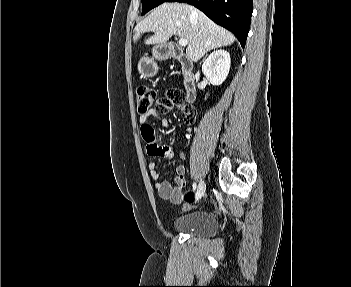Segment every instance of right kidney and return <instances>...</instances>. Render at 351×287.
Returning <instances> with one entry per match:
<instances>
[{
	"instance_id": "obj_1",
	"label": "right kidney",
	"mask_w": 351,
	"mask_h": 287,
	"mask_svg": "<svg viewBox=\"0 0 351 287\" xmlns=\"http://www.w3.org/2000/svg\"><path fill=\"white\" fill-rule=\"evenodd\" d=\"M230 54L225 50L212 52L202 64V72L212 85H221L228 76L230 70ZM199 79V72L195 76Z\"/></svg>"
}]
</instances>
